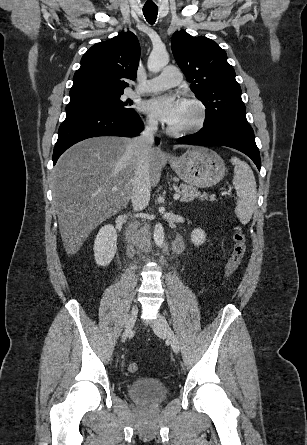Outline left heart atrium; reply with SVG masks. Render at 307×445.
Wrapping results in <instances>:
<instances>
[{
  "label": "left heart atrium",
  "mask_w": 307,
  "mask_h": 445,
  "mask_svg": "<svg viewBox=\"0 0 307 445\" xmlns=\"http://www.w3.org/2000/svg\"><path fill=\"white\" fill-rule=\"evenodd\" d=\"M186 101L177 93L161 91L144 102V110L167 124H174L184 113Z\"/></svg>",
  "instance_id": "1"
}]
</instances>
